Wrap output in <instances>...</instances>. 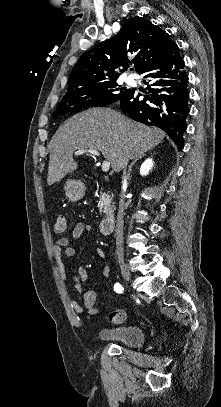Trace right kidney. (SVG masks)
<instances>
[{"label":"right kidney","mask_w":221,"mask_h":407,"mask_svg":"<svg viewBox=\"0 0 221 407\" xmlns=\"http://www.w3.org/2000/svg\"><path fill=\"white\" fill-rule=\"evenodd\" d=\"M153 164H154V162H153L152 158L146 159L140 167V175L146 176L149 173V171L152 169Z\"/></svg>","instance_id":"1"}]
</instances>
